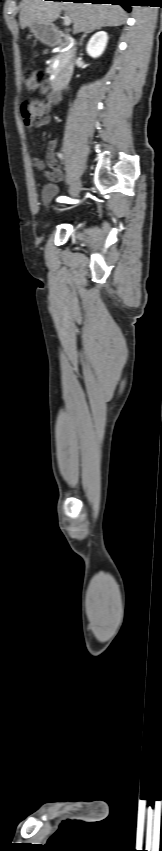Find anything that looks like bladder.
Masks as SVG:
<instances>
[{
	"mask_svg": "<svg viewBox=\"0 0 162 851\" xmlns=\"http://www.w3.org/2000/svg\"><path fill=\"white\" fill-rule=\"evenodd\" d=\"M56 194V187L53 184H46L42 189V199L45 203H49Z\"/></svg>",
	"mask_w": 162,
	"mask_h": 851,
	"instance_id": "1",
	"label": "bladder"
}]
</instances>
